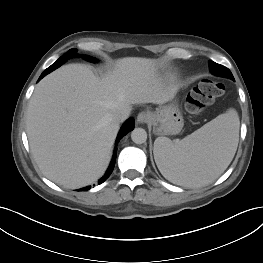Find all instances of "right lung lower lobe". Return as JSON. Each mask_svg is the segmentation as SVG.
<instances>
[{"label":"right lung lower lobe","instance_id":"right-lung-lower-lobe-1","mask_svg":"<svg viewBox=\"0 0 263 263\" xmlns=\"http://www.w3.org/2000/svg\"><path fill=\"white\" fill-rule=\"evenodd\" d=\"M67 59H65L64 57L59 58L54 64H52L50 67H48L40 76L39 80L42 79L45 75H47L48 73L52 72L53 70H55L56 68L60 67L64 62H66ZM38 80V81H39ZM134 128V120L133 119H128L124 125L122 126L117 140H116V146H115V151H114V155L111 161V164L108 168V170L106 171V173L104 174L103 178L100 179L99 184H101L102 182H104L112 173L114 166H115V161H116V155H117V144L119 142V140L125 136L128 132H130L131 130H133ZM91 188V186H87L85 188L79 189L78 191H86L89 190Z\"/></svg>","mask_w":263,"mask_h":263}]
</instances>
